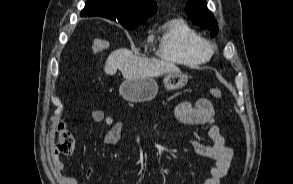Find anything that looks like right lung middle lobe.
Instances as JSON below:
<instances>
[{
  "instance_id": "1",
  "label": "right lung middle lobe",
  "mask_w": 293,
  "mask_h": 184,
  "mask_svg": "<svg viewBox=\"0 0 293 184\" xmlns=\"http://www.w3.org/2000/svg\"><path fill=\"white\" fill-rule=\"evenodd\" d=\"M144 22H136V23H126V24H122L124 28L132 30L137 28L139 25H141Z\"/></svg>"
}]
</instances>
